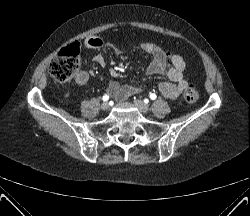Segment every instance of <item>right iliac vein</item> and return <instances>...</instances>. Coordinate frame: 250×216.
I'll return each mask as SVG.
<instances>
[{"instance_id": "right-iliac-vein-1", "label": "right iliac vein", "mask_w": 250, "mask_h": 216, "mask_svg": "<svg viewBox=\"0 0 250 216\" xmlns=\"http://www.w3.org/2000/svg\"><path fill=\"white\" fill-rule=\"evenodd\" d=\"M108 108H109L108 102H103V103L101 104V109H102L103 111L108 110Z\"/></svg>"}]
</instances>
